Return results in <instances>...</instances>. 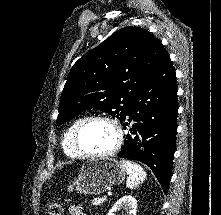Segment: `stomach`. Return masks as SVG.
<instances>
[{
    "label": "stomach",
    "instance_id": "1",
    "mask_svg": "<svg viewBox=\"0 0 221 215\" xmlns=\"http://www.w3.org/2000/svg\"><path fill=\"white\" fill-rule=\"evenodd\" d=\"M125 169L113 158H100L85 162L73 184L76 190L85 195H97L125 178Z\"/></svg>",
    "mask_w": 221,
    "mask_h": 215
}]
</instances>
